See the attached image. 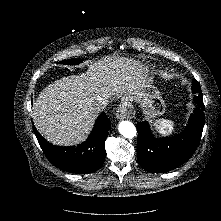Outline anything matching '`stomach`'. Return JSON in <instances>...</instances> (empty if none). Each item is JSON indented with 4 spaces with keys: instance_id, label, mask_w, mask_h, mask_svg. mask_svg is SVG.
<instances>
[{
    "instance_id": "0dacf381",
    "label": "stomach",
    "mask_w": 221,
    "mask_h": 221,
    "mask_svg": "<svg viewBox=\"0 0 221 221\" xmlns=\"http://www.w3.org/2000/svg\"><path fill=\"white\" fill-rule=\"evenodd\" d=\"M125 98L129 101L143 102L144 112L149 118L160 116L165 112V103L155 88L141 86L136 92Z\"/></svg>"
}]
</instances>
